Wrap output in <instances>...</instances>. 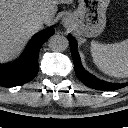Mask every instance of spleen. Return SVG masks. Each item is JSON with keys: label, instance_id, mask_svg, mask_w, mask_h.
I'll list each match as a JSON object with an SVG mask.
<instances>
[{"label": "spleen", "instance_id": "obj_1", "mask_svg": "<svg viewBox=\"0 0 128 128\" xmlns=\"http://www.w3.org/2000/svg\"><path fill=\"white\" fill-rule=\"evenodd\" d=\"M95 65L105 74L116 78L128 77V39L115 44L91 42Z\"/></svg>", "mask_w": 128, "mask_h": 128}]
</instances>
